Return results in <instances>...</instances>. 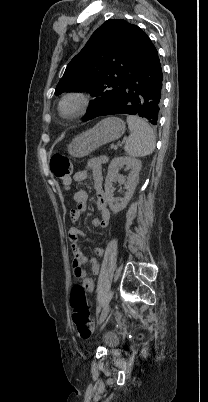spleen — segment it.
Instances as JSON below:
<instances>
[{
	"instance_id": "spleen-1",
	"label": "spleen",
	"mask_w": 208,
	"mask_h": 402,
	"mask_svg": "<svg viewBox=\"0 0 208 402\" xmlns=\"http://www.w3.org/2000/svg\"><path fill=\"white\" fill-rule=\"evenodd\" d=\"M127 124L131 134L124 148L126 154L132 158L150 156L155 150V136L152 128L146 124L145 120L137 116H128Z\"/></svg>"
}]
</instances>
